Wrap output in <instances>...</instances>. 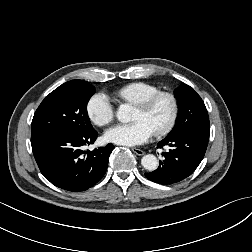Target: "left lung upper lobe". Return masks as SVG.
<instances>
[{"mask_svg": "<svg viewBox=\"0 0 252 252\" xmlns=\"http://www.w3.org/2000/svg\"><path fill=\"white\" fill-rule=\"evenodd\" d=\"M179 105L177 122L167 137L194 129L210 130L209 116L201 97L189 85H182L176 91Z\"/></svg>", "mask_w": 252, "mask_h": 252, "instance_id": "5c2ea615", "label": "left lung upper lobe"}]
</instances>
